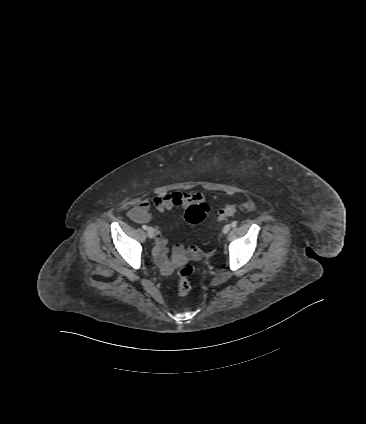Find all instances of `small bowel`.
Wrapping results in <instances>:
<instances>
[{"instance_id":"c3829d8e","label":"small bowel","mask_w":366,"mask_h":424,"mask_svg":"<svg viewBox=\"0 0 366 424\" xmlns=\"http://www.w3.org/2000/svg\"><path fill=\"white\" fill-rule=\"evenodd\" d=\"M204 195L201 192H172V193H159L152 199L154 207L163 212L165 210H171L175 207L188 208L193 204L202 202ZM128 216L130 219L137 223H148L152 220V213L150 212V200L148 198L140 199L135 206L129 210ZM156 248L154 255L156 261L161 268L168 272L170 270V263L168 262L167 255V239L162 232L157 228L156 230ZM174 252L181 254L183 252V246L178 244L174 247Z\"/></svg>"}]
</instances>
